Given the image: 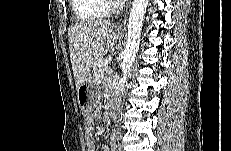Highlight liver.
<instances>
[{
  "mask_svg": "<svg viewBox=\"0 0 231 151\" xmlns=\"http://www.w3.org/2000/svg\"><path fill=\"white\" fill-rule=\"evenodd\" d=\"M114 24L110 21H82L68 30L70 59L76 89L89 75L94 63L113 46Z\"/></svg>",
  "mask_w": 231,
  "mask_h": 151,
  "instance_id": "obj_1",
  "label": "liver"
}]
</instances>
